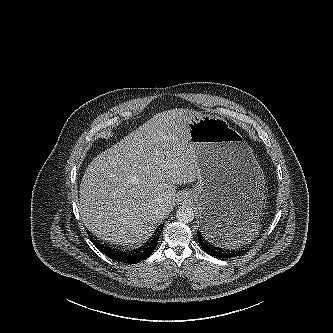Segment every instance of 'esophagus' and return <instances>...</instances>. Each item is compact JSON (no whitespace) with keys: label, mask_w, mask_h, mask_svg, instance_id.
I'll return each mask as SVG.
<instances>
[{"label":"esophagus","mask_w":333,"mask_h":333,"mask_svg":"<svg viewBox=\"0 0 333 333\" xmlns=\"http://www.w3.org/2000/svg\"><path fill=\"white\" fill-rule=\"evenodd\" d=\"M179 198H180L178 199L179 202L186 201L188 199V195L184 193Z\"/></svg>","instance_id":"obj_1"}]
</instances>
